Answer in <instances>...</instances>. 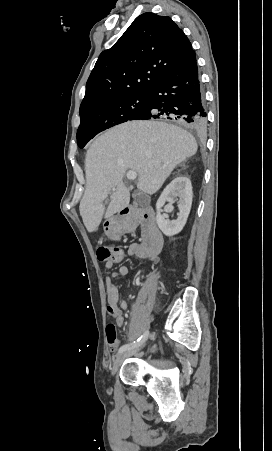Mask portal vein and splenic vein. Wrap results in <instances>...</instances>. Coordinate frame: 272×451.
Wrapping results in <instances>:
<instances>
[{"label":"portal vein and splenic vein","mask_w":272,"mask_h":451,"mask_svg":"<svg viewBox=\"0 0 272 451\" xmlns=\"http://www.w3.org/2000/svg\"><path fill=\"white\" fill-rule=\"evenodd\" d=\"M128 180H135V178H137V172H134V170H129V172H127L126 174ZM113 192L115 190V188H112Z\"/></svg>","instance_id":"portal-vein-and-splenic-vein-1"}]
</instances>
